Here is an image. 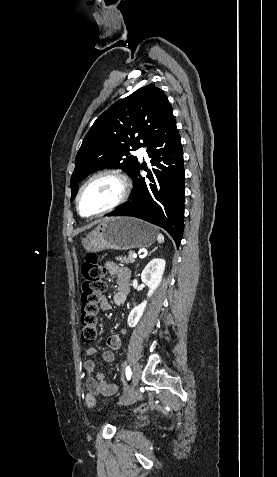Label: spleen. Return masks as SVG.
I'll list each match as a JSON object with an SVG mask.
<instances>
[{
    "mask_svg": "<svg viewBox=\"0 0 277 477\" xmlns=\"http://www.w3.org/2000/svg\"><path fill=\"white\" fill-rule=\"evenodd\" d=\"M157 240H158L159 243L164 242V236L162 234H159L158 237H157Z\"/></svg>",
    "mask_w": 277,
    "mask_h": 477,
    "instance_id": "obj_1",
    "label": "spleen"
}]
</instances>
